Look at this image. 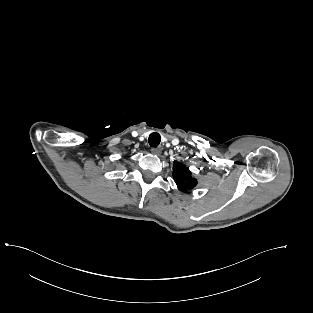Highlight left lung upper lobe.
<instances>
[{
  "label": "left lung upper lobe",
  "mask_w": 313,
  "mask_h": 313,
  "mask_svg": "<svg viewBox=\"0 0 313 313\" xmlns=\"http://www.w3.org/2000/svg\"><path fill=\"white\" fill-rule=\"evenodd\" d=\"M173 178L181 191L191 190L197 185V180L192 177L190 170L181 163L174 164Z\"/></svg>",
  "instance_id": "5c2ea615"
}]
</instances>
